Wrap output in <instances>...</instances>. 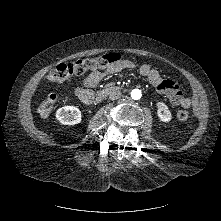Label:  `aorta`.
I'll return each mask as SVG.
<instances>
[{
  "mask_svg": "<svg viewBox=\"0 0 221 221\" xmlns=\"http://www.w3.org/2000/svg\"><path fill=\"white\" fill-rule=\"evenodd\" d=\"M142 96V92L139 89H133L131 91V98L134 100H139Z\"/></svg>",
  "mask_w": 221,
  "mask_h": 221,
  "instance_id": "obj_1",
  "label": "aorta"
}]
</instances>
